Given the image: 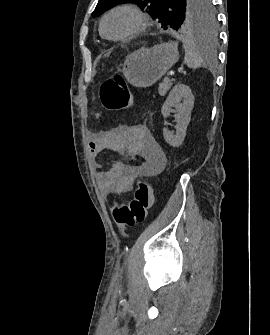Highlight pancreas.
Listing matches in <instances>:
<instances>
[{
	"instance_id": "1",
	"label": "pancreas",
	"mask_w": 270,
	"mask_h": 335,
	"mask_svg": "<svg viewBox=\"0 0 270 335\" xmlns=\"http://www.w3.org/2000/svg\"><path fill=\"white\" fill-rule=\"evenodd\" d=\"M172 82L173 80H169V78H164L163 82L159 84V88H158L160 96H165L166 92L170 90L172 86Z\"/></svg>"
}]
</instances>
